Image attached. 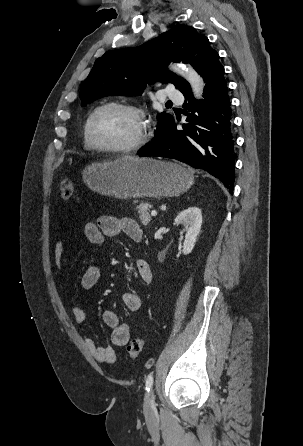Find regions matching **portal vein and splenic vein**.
I'll return each instance as SVG.
<instances>
[{"mask_svg":"<svg viewBox=\"0 0 303 446\" xmlns=\"http://www.w3.org/2000/svg\"><path fill=\"white\" fill-rule=\"evenodd\" d=\"M151 215H152V216H157V211H156V210H152V211H151Z\"/></svg>","mask_w":303,"mask_h":446,"instance_id":"obj_1","label":"portal vein and splenic vein"}]
</instances>
